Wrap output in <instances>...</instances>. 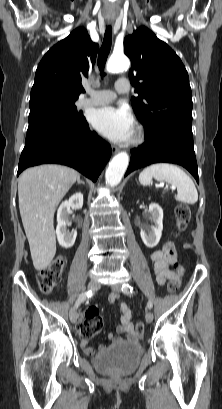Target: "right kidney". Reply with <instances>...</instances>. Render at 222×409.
Masks as SVG:
<instances>
[{
  "instance_id": "obj_1",
  "label": "right kidney",
  "mask_w": 222,
  "mask_h": 409,
  "mask_svg": "<svg viewBox=\"0 0 222 409\" xmlns=\"http://www.w3.org/2000/svg\"><path fill=\"white\" fill-rule=\"evenodd\" d=\"M83 206V194L76 193L72 195L69 200L62 202L57 211V228L56 235L59 244L64 248H70L74 245L77 231H69V215L71 213L70 207L81 209Z\"/></svg>"
}]
</instances>
